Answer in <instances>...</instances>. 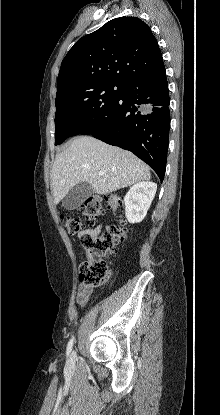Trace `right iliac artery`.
Masks as SVG:
<instances>
[{
	"label": "right iliac artery",
	"mask_w": 220,
	"mask_h": 415,
	"mask_svg": "<svg viewBox=\"0 0 220 415\" xmlns=\"http://www.w3.org/2000/svg\"><path fill=\"white\" fill-rule=\"evenodd\" d=\"M73 342H74V337H72L70 339V341L68 342V345H67V355H69L70 352H71V350H72Z\"/></svg>",
	"instance_id": "1"
}]
</instances>
